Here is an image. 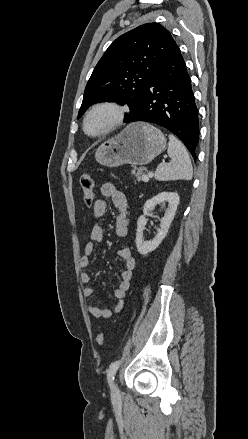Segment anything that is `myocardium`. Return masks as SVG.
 Returning <instances> with one entry per match:
<instances>
[{
    "mask_svg": "<svg viewBox=\"0 0 248 439\" xmlns=\"http://www.w3.org/2000/svg\"><path fill=\"white\" fill-rule=\"evenodd\" d=\"M103 109L110 110L112 112V120L101 131H99L97 133H90L87 129V122H88L89 118L95 112H97L99 110H103ZM125 117H126V108L124 106H122L121 104L114 102V101L97 102V103L93 104L86 111V113L83 117V122H82L83 131L86 135L93 137V138L102 137V136L112 132L113 130L117 129L118 127H120L123 124Z\"/></svg>",
    "mask_w": 248,
    "mask_h": 439,
    "instance_id": "myocardium-1",
    "label": "myocardium"
}]
</instances>
